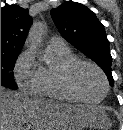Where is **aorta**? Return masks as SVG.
<instances>
[{
  "mask_svg": "<svg viewBox=\"0 0 123 130\" xmlns=\"http://www.w3.org/2000/svg\"><path fill=\"white\" fill-rule=\"evenodd\" d=\"M44 30L45 27L42 23H36L31 27L28 35V41L32 48L38 49L42 46ZM40 59L46 63L49 62V60L43 56Z\"/></svg>",
  "mask_w": 123,
  "mask_h": 130,
  "instance_id": "aorta-1",
  "label": "aorta"
}]
</instances>
